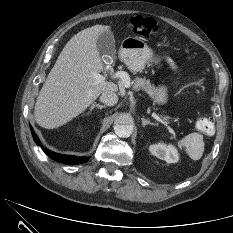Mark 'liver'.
<instances>
[{"mask_svg": "<svg viewBox=\"0 0 233 233\" xmlns=\"http://www.w3.org/2000/svg\"><path fill=\"white\" fill-rule=\"evenodd\" d=\"M110 26L94 25L74 35L65 45L39 93L34 117L46 129L64 125L90 106L101 93L117 91L115 83H95L103 70L97 39Z\"/></svg>", "mask_w": 233, "mask_h": 233, "instance_id": "liver-1", "label": "liver"}]
</instances>
